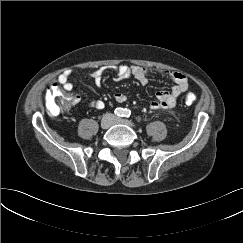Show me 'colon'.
<instances>
[{"mask_svg":"<svg viewBox=\"0 0 243 243\" xmlns=\"http://www.w3.org/2000/svg\"><path fill=\"white\" fill-rule=\"evenodd\" d=\"M47 107L51 114L57 115L67 110L72 105V96L66 94L60 85L54 83L46 93ZM196 101V96L190 93L186 96L185 102L192 105Z\"/></svg>","mask_w":243,"mask_h":243,"instance_id":"5ec220e1","label":"colon"}]
</instances>
